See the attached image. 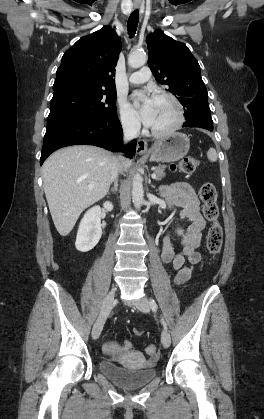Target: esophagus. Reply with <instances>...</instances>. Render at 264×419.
Instances as JSON below:
<instances>
[{"instance_id": "1", "label": "esophagus", "mask_w": 264, "mask_h": 419, "mask_svg": "<svg viewBox=\"0 0 264 419\" xmlns=\"http://www.w3.org/2000/svg\"><path fill=\"white\" fill-rule=\"evenodd\" d=\"M138 7H139L138 4L134 5L135 9H137ZM147 150H148L147 142L143 139L138 140L137 147H136V153L140 154V155H143V154L147 153Z\"/></svg>"}]
</instances>
